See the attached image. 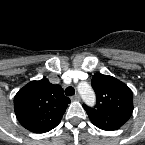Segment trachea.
Masks as SVG:
<instances>
[{
  "instance_id": "trachea-1",
  "label": "trachea",
  "mask_w": 145,
  "mask_h": 145,
  "mask_svg": "<svg viewBox=\"0 0 145 145\" xmlns=\"http://www.w3.org/2000/svg\"><path fill=\"white\" fill-rule=\"evenodd\" d=\"M65 94H66L67 96H72V95H74V94H75L74 88L71 87V86L67 87V88L65 89Z\"/></svg>"
}]
</instances>
